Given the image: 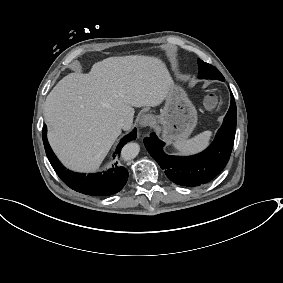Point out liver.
Listing matches in <instances>:
<instances>
[{"label": "liver", "instance_id": "6515ba94", "mask_svg": "<svg viewBox=\"0 0 283 283\" xmlns=\"http://www.w3.org/2000/svg\"><path fill=\"white\" fill-rule=\"evenodd\" d=\"M173 86L165 63L150 56L109 57L88 74L70 73L45 101L49 143L67 168L95 172L121 134L118 120L131 128L133 107L161 104Z\"/></svg>", "mask_w": 283, "mask_h": 283}]
</instances>
